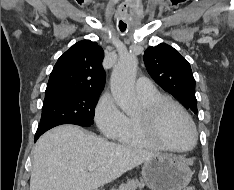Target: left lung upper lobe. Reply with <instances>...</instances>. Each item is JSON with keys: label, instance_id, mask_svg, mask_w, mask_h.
Wrapping results in <instances>:
<instances>
[{"label": "left lung upper lobe", "instance_id": "obj_1", "mask_svg": "<svg viewBox=\"0 0 234 190\" xmlns=\"http://www.w3.org/2000/svg\"><path fill=\"white\" fill-rule=\"evenodd\" d=\"M147 71L155 82L197 113L195 79L188 61L173 47L161 43L144 53Z\"/></svg>", "mask_w": 234, "mask_h": 190}]
</instances>
